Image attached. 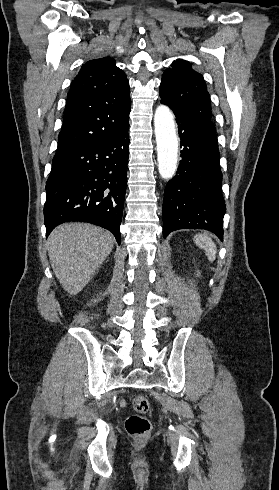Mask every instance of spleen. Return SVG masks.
<instances>
[{"instance_id":"1","label":"spleen","mask_w":279,"mask_h":490,"mask_svg":"<svg viewBox=\"0 0 279 490\" xmlns=\"http://www.w3.org/2000/svg\"><path fill=\"white\" fill-rule=\"evenodd\" d=\"M194 242L201 250H205L209 262H214L216 258V244H214L213 240L209 236H206V234H197Z\"/></svg>"}]
</instances>
